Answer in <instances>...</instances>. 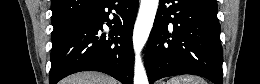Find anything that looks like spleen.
Returning a JSON list of instances; mask_svg holds the SVG:
<instances>
[{
	"instance_id": "obj_1",
	"label": "spleen",
	"mask_w": 260,
	"mask_h": 84,
	"mask_svg": "<svg viewBox=\"0 0 260 84\" xmlns=\"http://www.w3.org/2000/svg\"><path fill=\"white\" fill-rule=\"evenodd\" d=\"M167 84H207V82L198 76L187 75V76H179L173 77L167 81Z\"/></svg>"
}]
</instances>
